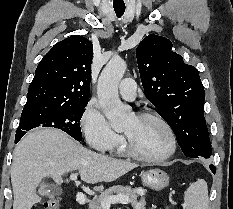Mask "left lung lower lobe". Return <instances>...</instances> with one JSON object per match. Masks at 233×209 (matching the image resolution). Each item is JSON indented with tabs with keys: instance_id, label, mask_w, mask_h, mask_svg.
I'll list each match as a JSON object with an SVG mask.
<instances>
[{
	"instance_id": "left-lung-lower-lobe-1",
	"label": "left lung lower lobe",
	"mask_w": 233,
	"mask_h": 209,
	"mask_svg": "<svg viewBox=\"0 0 233 209\" xmlns=\"http://www.w3.org/2000/svg\"><path fill=\"white\" fill-rule=\"evenodd\" d=\"M210 169L215 174L216 168L214 167V165H210Z\"/></svg>"
}]
</instances>
